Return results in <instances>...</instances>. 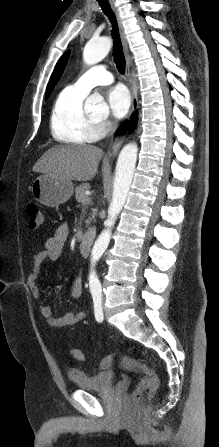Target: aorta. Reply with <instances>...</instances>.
Listing matches in <instances>:
<instances>
[{
    "instance_id": "obj_1",
    "label": "aorta",
    "mask_w": 219,
    "mask_h": 447,
    "mask_svg": "<svg viewBox=\"0 0 219 447\" xmlns=\"http://www.w3.org/2000/svg\"><path fill=\"white\" fill-rule=\"evenodd\" d=\"M110 48L111 41L108 37L91 39L84 47L83 60L87 65H94L107 56ZM88 103L92 108L103 109L105 107V103L100 98H92ZM137 152L138 148L134 143L125 145L120 151L116 163L112 201L108 208V218L105 221L106 228L101 232L93 246L91 252L92 261H97L108 247L111 238V229L126 202L132 184ZM96 280L97 278L93 273L91 281L96 282Z\"/></svg>"
}]
</instances>
